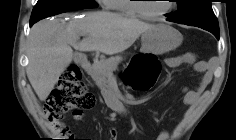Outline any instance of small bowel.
Here are the masks:
<instances>
[{
	"instance_id": "c3829d8e",
	"label": "small bowel",
	"mask_w": 236,
	"mask_h": 140,
	"mask_svg": "<svg viewBox=\"0 0 236 140\" xmlns=\"http://www.w3.org/2000/svg\"><path fill=\"white\" fill-rule=\"evenodd\" d=\"M165 64L170 68H177L184 64L193 65L194 69L198 72H203V76L198 83L197 87L194 90H185V95L183 98V104L188 108L192 109L198 102L201 94L205 91L209 85L212 74L207 70V64L205 61L197 60V57L194 53L188 52L178 56L168 57L165 59ZM66 136H71V133L68 130H64ZM111 140H116L115 130L110 131ZM169 134L166 131L159 133L156 140H168Z\"/></svg>"
}]
</instances>
